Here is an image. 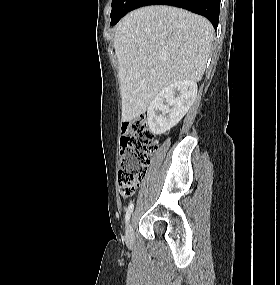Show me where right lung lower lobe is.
<instances>
[{
  "label": "right lung lower lobe",
  "mask_w": 280,
  "mask_h": 285,
  "mask_svg": "<svg viewBox=\"0 0 280 285\" xmlns=\"http://www.w3.org/2000/svg\"><path fill=\"white\" fill-rule=\"evenodd\" d=\"M148 5L180 7L206 17L215 29L218 26L220 0H137L132 10Z\"/></svg>",
  "instance_id": "98d812e1"
}]
</instances>
